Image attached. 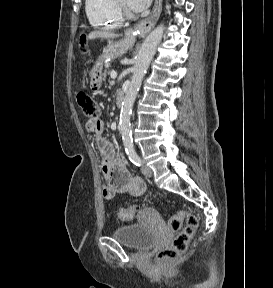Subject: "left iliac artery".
Here are the masks:
<instances>
[{
	"label": "left iliac artery",
	"instance_id": "obj_1",
	"mask_svg": "<svg viewBox=\"0 0 273 288\" xmlns=\"http://www.w3.org/2000/svg\"><path fill=\"white\" fill-rule=\"evenodd\" d=\"M129 159L132 163H134L136 166H141L142 161L138 154L136 152H132L129 154Z\"/></svg>",
	"mask_w": 273,
	"mask_h": 288
}]
</instances>
